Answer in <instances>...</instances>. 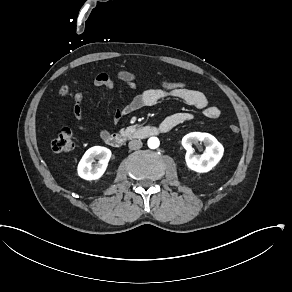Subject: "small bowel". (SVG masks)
<instances>
[{
    "instance_id": "obj_1",
    "label": "small bowel",
    "mask_w": 292,
    "mask_h": 292,
    "mask_svg": "<svg viewBox=\"0 0 292 292\" xmlns=\"http://www.w3.org/2000/svg\"><path fill=\"white\" fill-rule=\"evenodd\" d=\"M117 78L125 82L131 89H136L135 74L122 70L117 73ZM94 86L97 88L112 89L114 84L111 77L106 73H99L94 78ZM175 98L184 101L185 103L194 106L202 112V114L210 120H216L221 116V110L216 106L209 105L207 97L200 91L194 90L186 83L178 82L169 86H162L161 88L144 87L137 93L126 105L117 109L115 113V120L118 121L124 116L130 115L143 108L152 107L160 102ZM84 105L85 96L81 92H77L73 98V114L76 120V127L84 132H89L90 128L85 126L82 122L84 120ZM192 118L190 113L178 112L167 116L160 124V126L174 127L189 121ZM110 135L107 128H102L100 131V138L106 140Z\"/></svg>"
}]
</instances>
